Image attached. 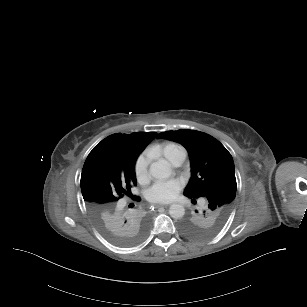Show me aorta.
<instances>
[{
	"label": "aorta",
	"mask_w": 307,
	"mask_h": 307,
	"mask_svg": "<svg viewBox=\"0 0 307 307\" xmlns=\"http://www.w3.org/2000/svg\"><path fill=\"white\" fill-rule=\"evenodd\" d=\"M149 174L157 180H165L172 174L171 165L166 159H159L151 163ZM169 214L174 219H181L185 214V208L181 204L174 203L169 208Z\"/></svg>",
	"instance_id": "1"
}]
</instances>
